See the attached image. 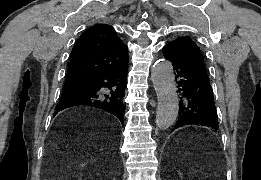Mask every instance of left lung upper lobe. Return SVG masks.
<instances>
[{"label":"left lung upper lobe","mask_w":261,"mask_h":180,"mask_svg":"<svg viewBox=\"0 0 261 180\" xmlns=\"http://www.w3.org/2000/svg\"><path fill=\"white\" fill-rule=\"evenodd\" d=\"M168 45L177 48L189 61L205 69L203 55L199 47L188 37H179Z\"/></svg>","instance_id":"5c2ea615"}]
</instances>
